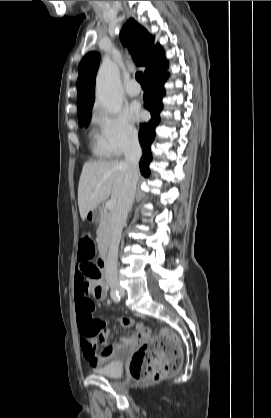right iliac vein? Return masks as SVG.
<instances>
[{"label":"right iliac vein","instance_id":"1","mask_svg":"<svg viewBox=\"0 0 271 418\" xmlns=\"http://www.w3.org/2000/svg\"><path fill=\"white\" fill-rule=\"evenodd\" d=\"M115 288L121 292V289L119 287H115Z\"/></svg>","mask_w":271,"mask_h":418}]
</instances>
